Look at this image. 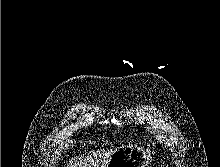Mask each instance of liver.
Returning a JSON list of instances; mask_svg holds the SVG:
<instances>
[{"label":"liver","instance_id":"liver-1","mask_svg":"<svg viewBox=\"0 0 220 167\" xmlns=\"http://www.w3.org/2000/svg\"><path fill=\"white\" fill-rule=\"evenodd\" d=\"M115 150L94 151L74 158L67 167H106Z\"/></svg>","mask_w":220,"mask_h":167}]
</instances>
